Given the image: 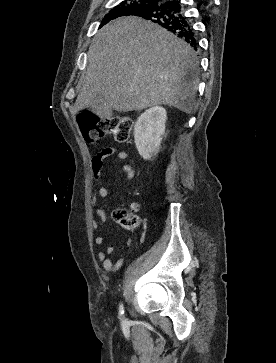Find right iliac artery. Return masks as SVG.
<instances>
[{"instance_id":"1","label":"right iliac artery","mask_w":276,"mask_h":363,"mask_svg":"<svg viewBox=\"0 0 276 363\" xmlns=\"http://www.w3.org/2000/svg\"><path fill=\"white\" fill-rule=\"evenodd\" d=\"M124 314V306L122 302L119 304V315L122 317Z\"/></svg>"}]
</instances>
